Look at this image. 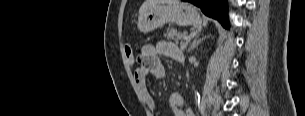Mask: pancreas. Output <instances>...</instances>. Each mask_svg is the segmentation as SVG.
<instances>
[{
	"mask_svg": "<svg viewBox=\"0 0 305 116\" xmlns=\"http://www.w3.org/2000/svg\"><path fill=\"white\" fill-rule=\"evenodd\" d=\"M186 36V34H182L180 32L177 31V29L171 28L168 29L167 32L164 34V37H167V39H172L176 42H178L179 40L181 41L180 45L181 48L184 49L186 47V43H184V37Z\"/></svg>",
	"mask_w": 305,
	"mask_h": 116,
	"instance_id": "obj_1",
	"label": "pancreas"
}]
</instances>
